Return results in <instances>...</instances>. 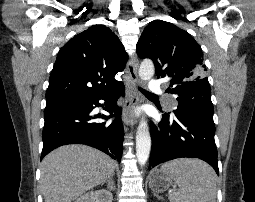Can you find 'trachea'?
I'll return each instance as SVG.
<instances>
[{
    "instance_id": "obj_1",
    "label": "trachea",
    "mask_w": 255,
    "mask_h": 202,
    "mask_svg": "<svg viewBox=\"0 0 255 202\" xmlns=\"http://www.w3.org/2000/svg\"><path fill=\"white\" fill-rule=\"evenodd\" d=\"M140 91H141L142 93L146 94V95L153 96V97H158L157 95L152 94V93H150V92H148V91H146V90H144V89H141V88H140Z\"/></svg>"
}]
</instances>
